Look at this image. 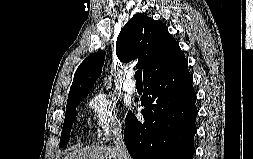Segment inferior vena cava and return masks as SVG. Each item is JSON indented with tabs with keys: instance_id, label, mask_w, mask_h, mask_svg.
<instances>
[{
	"instance_id": "1",
	"label": "inferior vena cava",
	"mask_w": 253,
	"mask_h": 159,
	"mask_svg": "<svg viewBox=\"0 0 253 159\" xmlns=\"http://www.w3.org/2000/svg\"><path fill=\"white\" fill-rule=\"evenodd\" d=\"M115 150L118 154V159H131L124 142L123 134L121 128L115 131Z\"/></svg>"
}]
</instances>
